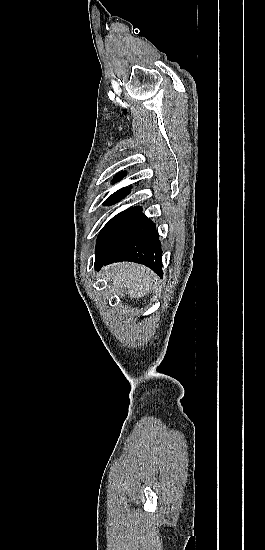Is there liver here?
Here are the masks:
<instances>
[{
    "instance_id": "6515ba94",
    "label": "liver",
    "mask_w": 265,
    "mask_h": 550,
    "mask_svg": "<svg viewBox=\"0 0 265 550\" xmlns=\"http://www.w3.org/2000/svg\"><path fill=\"white\" fill-rule=\"evenodd\" d=\"M106 274L112 278L114 287L125 291L131 299L148 294L153 283L150 270L137 264H114Z\"/></svg>"
}]
</instances>
